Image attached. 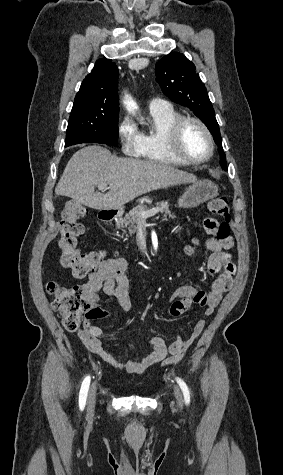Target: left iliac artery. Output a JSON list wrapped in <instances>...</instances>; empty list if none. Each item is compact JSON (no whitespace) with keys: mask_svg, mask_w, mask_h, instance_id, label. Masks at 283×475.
Returning a JSON list of instances; mask_svg holds the SVG:
<instances>
[{"mask_svg":"<svg viewBox=\"0 0 283 475\" xmlns=\"http://www.w3.org/2000/svg\"><path fill=\"white\" fill-rule=\"evenodd\" d=\"M176 380H177V383L179 384L180 388L182 389L186 404H189L190 403V394H189V390H188V387H187L186 383L183 380H181L180 378H176Z\"/></svg>","mask_w":283,"mask_h":475,"instance_id":"44dca946","label":"left iliac artery"}]
</instances>
